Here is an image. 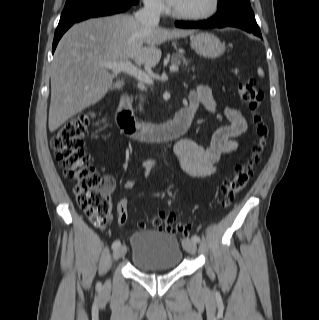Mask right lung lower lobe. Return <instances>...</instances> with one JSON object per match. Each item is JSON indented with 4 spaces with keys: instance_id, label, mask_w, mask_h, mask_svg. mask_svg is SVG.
<instances>
[{
    "instance_id": "obj_1",
    "label": "right lung lower lobe",
    "mask_w": 319,
    "mask_h": 320,
    "mask_svg": "<svg viewBox=\"0 0 319 320\" xmlns=\"http://www.w3.org/2000/svg\"><path fill=\"white\" fill-rule=\"evenodd\" d=\"M134 4L137 3L130 0H109L84 7L73 13H70L65 17H61L54 35L52 53L54 52L58 41L60 40L64 32L74 23L91 17L105 16L124 12Z\"/></svg>"
}]
</instances>
